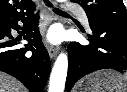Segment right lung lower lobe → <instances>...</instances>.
Instances as JSON below:
<instances>
[{
	"label": "right lung lower lobe",
	"mask_w": 127,
	"mask_h": 92,
	"mask_svg": "<svg viewBox=\"0 0 127 92\" xmlns=\"http://www.w3.org/2000/svg\"><path fill=\"white\" fill-rule=\"evenodd\" d=\"M38 19L39 16H33L31 12L27 17L0 25V71L16 77L30 92H43L51 67L37 29ZM18 21L24 23V39L29 42L25 48H17L20 39L11 35L12 29L19 31ZM28 51H32V54Z\"/></svg>",
	"instance_id": "right-lung-lower-lobe-1"
}]
</instances>
